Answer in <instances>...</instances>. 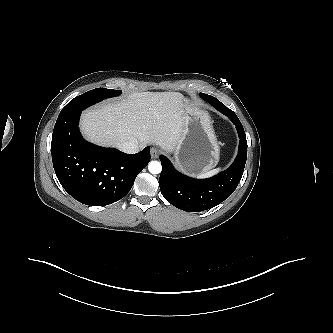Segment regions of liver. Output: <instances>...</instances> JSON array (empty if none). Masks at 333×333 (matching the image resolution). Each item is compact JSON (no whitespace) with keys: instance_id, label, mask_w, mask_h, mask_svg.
<instances>
[{"instance_id":"1","label":"liver","mask_w":333,"mask_h":333,"mask_svg":"<svg viewBox=\"0 0 333 333\" xmlns=\"http://www.w3.org/2000/svg\"><path fill=\"white\" fill-rule=\"evenodd\" d=\"M184 99L177 92H140L82 114L84 136L97 144L120 148L127 141L173 151L184 125Z\"/></svg>"}]
</instances>
